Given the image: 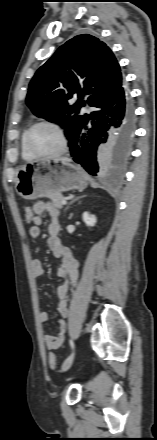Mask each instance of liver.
Returning <instances> with one entry per match:
<instances>
[{
    "instance_id": "obj_1",
    "label": "liver",
    "mask_w": 157,
    "mask_h": 440,
    "mask_svg": "<svg viewBox=\"0 0 157 440\" xmlns=\"http://www.w3.org/2000/svg\"><path fill=\"white\" fill-rule=\"evenodd\" d=\"M58 159L63 160V161H70V159H68V158H66V157L58 158Z\"/></svg>"
}]
</instances>
